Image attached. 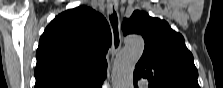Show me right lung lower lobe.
<instances>
[{"mask_svg":"<svg viewBox=\"0 0 223 88\" xmlns=\"http://www.w3.org/2000/svg\"><path fill=\"white\" fill-rule=\"evenodd\" d=\"M103 80H104V78L101 79V80H99V81H97V82L95 83V85L92 86V88H101V84H102V81H103Z\"/></svg>","mask_w":223,"mask_h":88,"instance_id":"obj_1","label":"right lung lower lobe"}]
</instances>
